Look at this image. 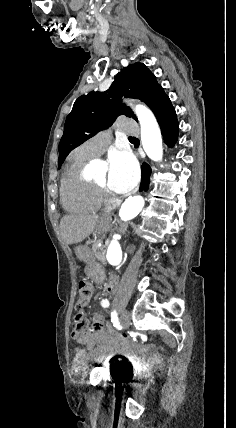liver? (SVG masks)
Segmentation results:
<instances>
[{
    "instance_id": "obj_1",
    "label": "liver",
    "mask_w": 236,
    "mask_h": 428,
    "mask_svg": "<svg viewBox=\"0 0 236 428\" xmlns=\"http://www.w3.org/2000/svg\"><path fill=\"white\" fill-rule=\"evenodd\" d=\"M99 224V216L67 214L60 222L62 240L66 244H78L88 238Z\"/></svg>"
}]
</instances>
